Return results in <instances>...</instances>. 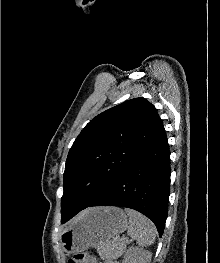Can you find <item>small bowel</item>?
<instances>
[{"label":"small bowel","instance_id":"small-bowel-1","mask_svg":"<svg viewBox=\"0 0 220 263\" xmlns=\"http://www.w3.org/2000/svg\"><path fill=\"white\" fill-rule=\"evenodd\" d=\"M84 263H98V262L94 257L90 256V257H87Z\"/></svg>","mask_w":220,"mask_h":263}]
</instances>
